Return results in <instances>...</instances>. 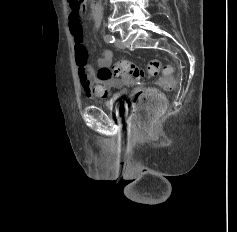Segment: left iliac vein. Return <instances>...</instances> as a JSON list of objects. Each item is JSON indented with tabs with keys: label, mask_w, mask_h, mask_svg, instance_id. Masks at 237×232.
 Segmentation results:
<instances>
[{
	"label": "left iliac vein",
	"mask_w": 237,
	"mask_h": 232,
	"mask_svg": "<svg viewBox=\"0 0 237 232\" xmlns=\"http://www.w3.org/2000/svg\"><path fill=\"white\" fill-rule=\"evenodd\" d=\"M115 46L119 49H124V45H123L122 41L119 38H117L115 40Z\"/></svg>",
	"instance_id": "left-iliac-vein-1"
}]
</instances>
